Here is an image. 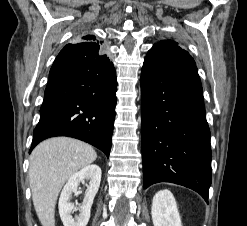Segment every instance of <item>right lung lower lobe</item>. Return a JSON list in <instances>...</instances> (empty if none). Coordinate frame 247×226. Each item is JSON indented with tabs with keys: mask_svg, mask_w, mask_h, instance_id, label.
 <instances>
[{
	"mask_svg": "<svg viewBox=\"0 0 247 226\" xmlns=\"http://www.w3.org/2000/svg\"><path fill=\"white\" fill-rule=\"evenodd\" d=\"M116 91L114 66L99 43L66 45L51 67L29 153L46 138L69 136L109 157Z\"/></svg>",
	"mask_w": 247,
	"mask_h": 226,
	"instance_id": "obj_1",
	"label": "right lung lower lobe"
}]
</instances>
